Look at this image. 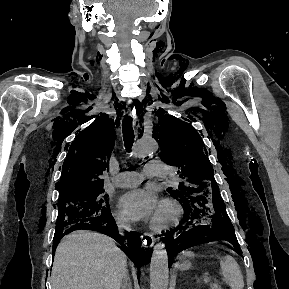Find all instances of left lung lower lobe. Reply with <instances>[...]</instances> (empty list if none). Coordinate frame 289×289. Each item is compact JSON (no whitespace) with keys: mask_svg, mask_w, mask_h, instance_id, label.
Returning a JSON list of instances; mask_svg holds the SVG:
<instances>
[{"mask_svg":"<svg viewBox=\"0 0 289 289\" xmlns=\"http://www.w3.org/2000/svg\"><path fill=\"white\" fill-rule=\"evenodd\" d=\"M181 205L184 209L181 223L168 232L163 239L167 245L169 260L177 253L193 246L194 238L202 236L225 239L241 255L234 227L225 211L223 200L216 198L207 203L205 199L195 197ZM210 217L212 218L211 223L207 222Z\"/></svg>","mask_w":289,"mask_h":289,"instance_id":"1","label":"left lung lower lobe"}]
</instances>
